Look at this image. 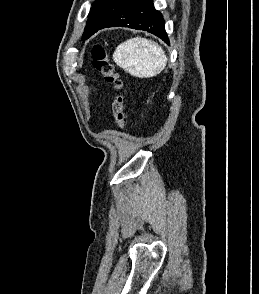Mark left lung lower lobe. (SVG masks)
I'll list each match as a JSON object with an SVG mask.
<instances>
[{
  "label": "left lung lower lobe",
  "mask_w": 259,
  "mask_h": 294,
  "mask_svg": "<svg viewBox=\"0 0 259 294\" xmlns=\"http://www.w3.org/2000/svg\"><path fill=\"white\" fill-rule=\"evenodd\" d=\"M117 26L145 30L169 44L165 21L161 13L154 8L152 0H127L118 5L98 30Z\"/></svg>",
  "instance_id": "1"
}]
</instances>
